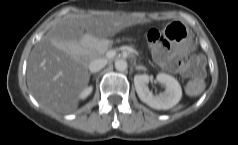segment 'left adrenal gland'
Masks as SVG:
<instances>
[{
    "instance_id": "obj_1",
    "label": "left adrenal gland",
    "mask_w": 238,
    "mask_h": 145,
    "mask_svg": "<svg viewBox=\"0 0 238 145\" xmlns=\"http://www.w3.org/2000/svg\"><path fill=\"white\" fill-rule=\"evenodd\" d=\"M135 69L136 70H144V71H146V68L145 67H143V66H141V65H135Z\"/></svg>"
}]
</instances>
